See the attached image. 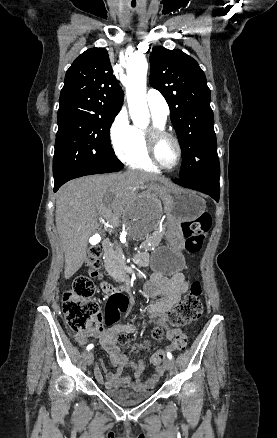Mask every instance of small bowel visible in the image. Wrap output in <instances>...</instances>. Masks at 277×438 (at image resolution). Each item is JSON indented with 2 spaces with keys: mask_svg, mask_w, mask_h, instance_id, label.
I'll list each match as a JSON object with an SVG mask.
<instances>
[{
  "mask_svg": "<svg viewBox=\"0 0 277 438\" xmlns=\"http://www.w3.org/2000/svg\"><path fill=\"white\" fill-rule=\"evenodd\" d=\"M187 290L188 283L185 281L182 273L178 272L171 276L154 273L144 286L145 295L157 299L148 307L149 317L147 320L137 324H118L111 328L98 326L95 329L75 334V341L79 345H86L90 339H97L102 348L107 352L110 358V363L115 368V371H109L108 364H101L100 369L105 372L106 375V382H104L106 387H125L136 391H145L150 390L157 385L164 374V367L162 366L161 368H158L155 363H152L155 366V372L149 379L143 381L142 377L145 370V362L143 360L137 362L130 361L127 355L121 353L117 339L120 334H138L149 324H155L164 326L167 338L175 340L177 336L181 335V331L168 326V312L181 300ZM173 347L174 346L172 345L166 350L160 351H166L167 353L172 350ZM126 369H131L133 371L132 376L123 375V372ZM95 375L98 381L103 382L98 367L95 369Z\"/></svg>",
  "mask_w": 277,
  "mask_h": 438,
  "instance_id": "c3829d8e",
  "label": "small bowel"
}]
</instances>
